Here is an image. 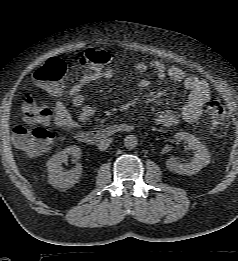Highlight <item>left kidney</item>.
I'll list each match as a JSON object with an SVG mask.
<instances>
[{"mask_svg": "<svg viewBox=\"0 0 238 261\" xmlns=\"http://www.w3.org/2000/svg\"><path fill=\"white\" fill-rule=\"evenodd\" d=\"M176 141H184L190 149L195 151V155L190 163L181 164L175 157H170L166 160V167L178 174L194 175L203 167L210 163V153L208 149L195 136L180 132L174 136Z\"/></svg>", "mask_w": 238, "mask_h": 261, "instance_id": "obj_1", "label": "left kidney"}]
</instances>
